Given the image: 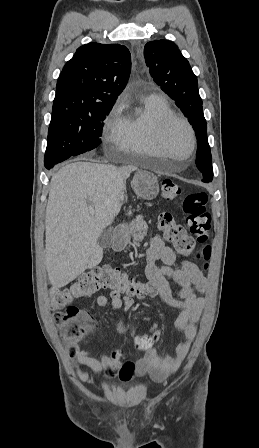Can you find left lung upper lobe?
Here are the masks:
<instances>
[{"label": "left lung upper lobe", "instance_id": "1", "mask_svg": "<svg viewBox=\"0 0 259 448\" xmlns=\"http://www.w3.org/2000/svg\"><path fill=\"white\" fill-rule=\"evenodd\" d=\"M144 58L153 80L175 100L193 125L198 145L197 167L201 162L212 161L198 81L189 62L178 46L168 40L148 42L144 47Z\"/></svg>", "mask_w": 259, "mask_h": 448}]
</instances>
